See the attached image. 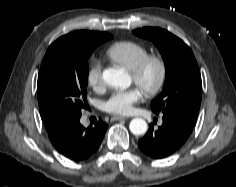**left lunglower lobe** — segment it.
<instances>
[{"label": "left lung lower lobe", "instance_id": "obj_1", "mask_svg": "<svg viewBox=\"0 0 236 187\" xmlns=\"http://www.w3.org/2000/svg\"><path fill=\"white\" fill-rule=\"evenodd\" d=\"M157 130L150 125L146 135L139 140L140 150L153 159H162L176 152L187 140L193 126L171 115H163Z\"/></svg>", "mask_w": 236, "mask_h": 187}]
</instances>
